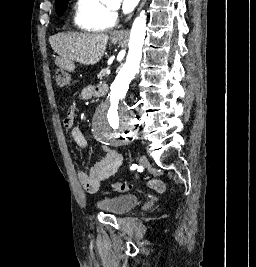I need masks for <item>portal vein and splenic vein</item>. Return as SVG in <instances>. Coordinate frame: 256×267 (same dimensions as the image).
I'll use <instances>...</instances> for the list:
<instances>
[{
    "label": "portal vein and splenic vein",
    "instance_id": "portal-vein-and-splenic-vein-1",
    "mask_svg": "<svg viewBox=\"0 0 256 267\" xmlns=\"http://www.w3.org/2000/svg\"><path fill=\"white\" fill-rule=\"evenodd\" d=\"M105 73H106V74H109V73H110V68H107V69L105 70Z\"/></svg>",
    "mask_w": 256,
    "mask_h": 267
}]
</instances>
